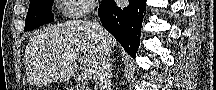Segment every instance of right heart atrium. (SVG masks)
Returning <instances> with one entry per match:
<instances>
[{
	"label": "right heart atrium",
	"mask_w": 216,
	"mask_h": 90,
	"mask_svg": "<svg viewBox=\"0 0 216 90\" xmlns=\"http://www.w3.org/2000/svg\"><path fill=\"white\" fill-rule=\"evenodd\" d=\"M94 0H64V6H69L68 11L65 10L64 16L76 20L83 15V12H88L91 6H96Z\"/></svg>",
	"instance_id": "1"
}]
</instances>
